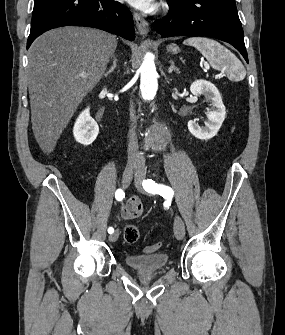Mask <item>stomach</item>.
I'll use <instances>...</instances> for the list:
<instances>
[{"instance_id": "0dacf381", "label": "stomach", "mask_w": 285, "mask_h": 335, "mask_svg": "<svg viewBox=\"0 0 285 335\" xmlns=\"http://www.w3.org/2000/svg\"><path fill=\"white\" fill-rule=\"evenodd\" d=\"M167 50L168 52H171V54H178L179 52V48L176 44H171V46H168Z\"/></svg>"}]
</instances>
